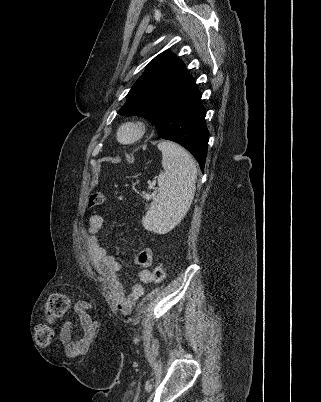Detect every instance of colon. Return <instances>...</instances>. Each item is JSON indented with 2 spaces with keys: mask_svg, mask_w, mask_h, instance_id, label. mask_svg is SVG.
I'll return each instance as SVG.
<instances>
[{
  "mask_svg": "<svg viewBox=\"0 0 321 402\" xmlns=\"http://www.w3.org/2000/svg\"><path fill=\"white\" fill-rule=\"evenodd\" d=\"M105 196L102 193H93L88 198V207L95 208L103 204ZM166 273L163 265L158 264L152 270V279L160 283L165 279ZM71 306V299L65 293L51 294L47 300L45 316L46 320L37 324L35 339L39 345L46 346L53 340V328L51 321L63 317Z\"/></svg>",
  "mask_w": 321,
  "mask_h": 402,
  "instance_id": "1",
  "label": "colon"
}]
</instances>
